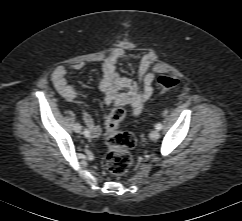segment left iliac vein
<instances>
[{"mask_svg": "<svg viewBox=\"0 0 242 221\" xmlns=\"http://www.w3.org/2000/svg\"><path fill=\"white\" fill-rule=\"evenodd\" d=\"M160 136V133L157 129H154L150 132L149 137L151 140H157Z\"/></svg>", "mask_w": 242, "mask_h": 221, "instance_id": "obj_1", "label": "left iliac vein"}]
</instances>
